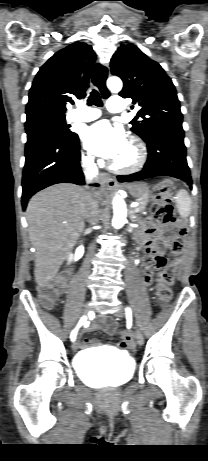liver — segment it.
I'll use <instances>...</instances> for the list:
<instances>
[{
	"instance_id": "liver-1",
	"label": "liver",
	"mask_w": 208,
	"mask_h": 461,
	"mask_svg": "<svg viewBox=\"0 0 208 461\" xmlns=\"http://www.w3.org/2000/svg\"><path fill=\"white\" fill-rule=\"evenodd\" d=\"M102 199L104 190H98ZM89 190L73 184H56L37 194L26 210L29 236L35 248V281L47 285L57 274L84 230Z\"/></svg>"
}]
</instances>
